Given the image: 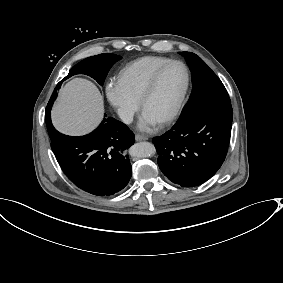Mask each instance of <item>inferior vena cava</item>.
I'll use <instances>...</instances> for the list:
<instances>
[{"instance_id":"602c4592","label":"inferior vena cava","mask_w":283,"mask_h":283,"mask_svg":"<svg viewBox=\"0 0 283 283\" xmlns=\"http://www.w3.org/2000/svg\"><path fill=\"white\" fill-rule=\"evenodd\" d=\"M117 113L125 124H130L133 121L134 112L129 107L123 106L118 108Z\"/></svg>"}]
</instances>
